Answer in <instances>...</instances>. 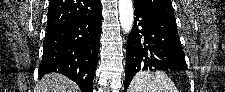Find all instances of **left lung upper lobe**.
Here are the masks:
<instances>
[{
	"mask_svg": "<svg viewBox=\"0 0 225 92\" xmlns=\"http://www.w3.org/2000/svg\"><path fill=\"white\" fill-rule=\"evenodd\" d=\"M134 8L176 21L171 0H134Z\"/></svg>",
	"mask_w": 225,
	"mask_h": 92,
	"instance_id": "left-lung-upper-lobe-1",
	"label": "left lung upper lobe"
}]
</instances>
